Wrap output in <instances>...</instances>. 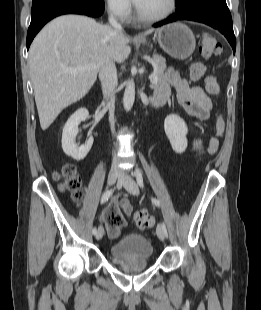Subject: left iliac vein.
Masks as SVG:
<instances>
[{
  "label": "left iliac vein",
  "instance_id": "obj_1",
  "mask_svg": "<svg viewBox=\"0 0 261 310\" xmlns=\"http://www.w3.org/2000/svg\"><path fill=\"white\" fill-rule=\"evenodd\" d=\"M119 182L123 184L125 189L132 195H138L139 194V188L135 182V180L132 178V174L125 172L122 173L119 177ZM156 233L160 240H165L166 236L163 230V226L161 224H158L156 227Z\"/></svg>",
  "mask_w": 261,
  "mask_h": 310
}]
</instances>
